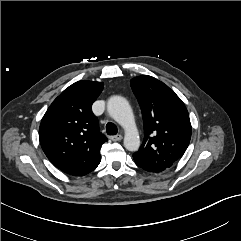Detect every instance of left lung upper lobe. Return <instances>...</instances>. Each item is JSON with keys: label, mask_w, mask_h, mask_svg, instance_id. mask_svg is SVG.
<instances>
[{"label": "left lung upper lobe", "mask_w": 241, "mask_h": 241, "mask_svg": "<svg viewBox=\"0 0 241 241\" xmlns=\"http://www.w3.org/2000/svg\"><path fill=\"white\" fill-rule=\"evenodd\" d=\"M140 104L144 140L133 154L135 163L149 172L171 167L186 151L191 123L182 100L163 82L144 75L130 81Z\"/></svg>", "instance_id": "left-lung-upper-lobe-1"}]
</instances>
